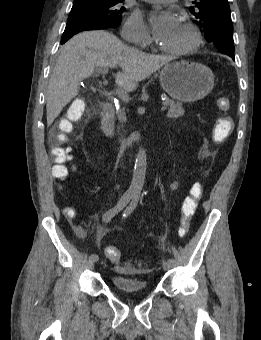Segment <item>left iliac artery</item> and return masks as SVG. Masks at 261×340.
<instances>
[{
  "label": "left iliac artery",
  "mask_w": 261,
  "mask_h": 340,
  "mask_svg": "<svg viewBox=\"0 0 261 340\" xmlns=\"http://www.w3.org/2000/svg\"><path fill=\"white\" fill-rule=\"evenodd\" d=\"M138 199H139V195L138 194H134L132 202L130 203V205L123 212V215H122L123 218H127L134 211V209L136 208ZM167 261L171 265H173L175 263V259L173 257H168Z\"/></svg>",
  "instance_id": "1"
}]
</instances>
